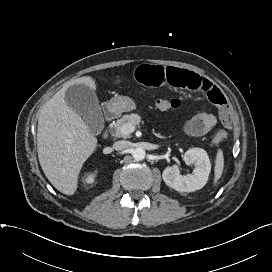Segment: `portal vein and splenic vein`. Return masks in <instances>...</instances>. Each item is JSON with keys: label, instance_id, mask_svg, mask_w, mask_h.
<instances>
[{"label": "portal vein and splenic vein", "instance_id": "1", "mask_svg": "<svg viewBox=\"0 0 272 272\" xmlns=\"http://www.w3.org/2000/svg\"><path fill=\"white\" fill-rule=\"evenodd\" d=\"M121 131L124 134H131V133H133L135 131V126H133L132 124L123 125L122 128H121Z\"/></svg>", "mask_w": 272, "mask_h": 272}]
</instances>
